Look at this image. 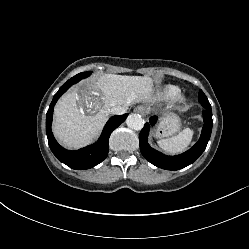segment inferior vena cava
<instances>
[{
  "label": "inferior vena cava",
  "mask_w": 249,
  "mask_h": 249,
  "mask_svg": "<svg viewBox=\"0 0 249 249\" xmlns=\"http://www.w3.org/2000/svg\"><path fill=\"white\" fill-rule=\"evenodd\" d=\"M110 113L113 115H122L126 113V108L123 106H114L110 109Z\"/></svg>",
  "instance_id": "obj_1"
}]
</instances>
